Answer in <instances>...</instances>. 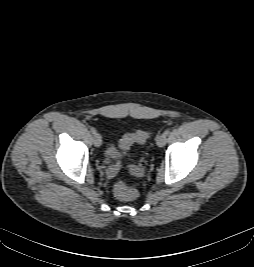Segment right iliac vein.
I'll list each match as a JSON object with an SVG mask.
<instances>
[{
  "label": "right iliac vein",
  "instance_id": "1",
  "mask_svg": "<svg viewBox=\"0 0 254 267\" xmlns=\"http://www.w3.org/2000/svg\"><path fill=\"white\" fill-rule=\"evenodd\" d=\"M93 143L96 147H100L102 144V138L99 133H95L93 136Z\"/></svg>",
  "mask_w": 254,
  "mask_h": 267
}]
</instances>
